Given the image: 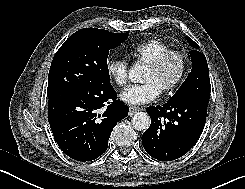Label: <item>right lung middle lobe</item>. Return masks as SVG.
<instances>
[{"instance_id": "obj_1", "label": "right lung middle lobe", "mask_w": 245, "mask_h": 189, "mask_svg": "<svg viewBox=\"0 0 245 189\" xmlns=\"http://www.w3.org/2000/svg\"><path fill=\"white\" fill-rule=\"evenodd\" d=\"M128 35L97 28H84L75 32L52 60L48 76V99L89 91L99 83L110 82L108 54L124 42Z\"/></svg>"}]
</instances>
